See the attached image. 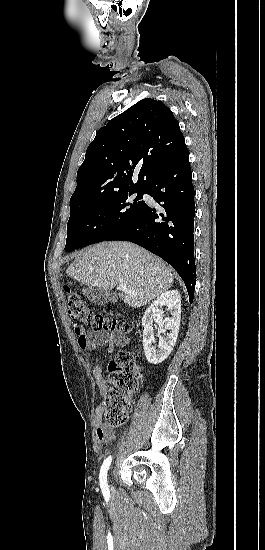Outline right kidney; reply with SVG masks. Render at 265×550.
I'll use <instances>...</instances> for the list:
<instances>
[{
  "label": "right kidney",
  "instance_id": "ca27d5eb",
  "mask_svg": "<svg viewBox=\"0 0 265 550\" xmlns=\"http://www.w3.org/2000/svg\"><path fill=\"white\" fill-rule=\"evenodd\" d=\"M167 307L170 317H164L163 307ZM181 319V298L177 290L167 291L160 296L146 309L143 318V346L146 359L149 363L157 365L162 363L171 353L175 346ZM153 321L158 325V332L170 331L165 337L159 338L156 350L153 347L155 342L153 333Z\"/></svg>",
  "mask_w": 265,
  "mask_h": 550
}]
</instances>
